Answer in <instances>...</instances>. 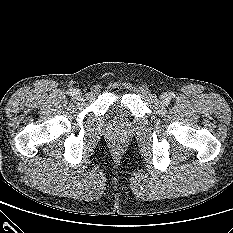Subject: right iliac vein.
Masks as SVG:
<instances>
[{"mask_svg":"<svg viewBox=\"0 0 233 233\" xmlns=\"http://www.w3.org/2000/svg\"><path fill=\"white\" fill-rule=\"evenodd\" d=\"M72 96H73L74 98H79V97L81 96V91H80L79 89H74V90L72 91Z\"/></svg>","mask_w":233,"mask_h":233,"instance_id":"obj_1","label":"right iliac vein"}]
</instances>
